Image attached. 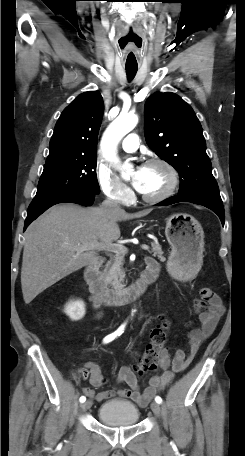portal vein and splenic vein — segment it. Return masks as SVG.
<instances>
[{
  "label": "portal vein and splenic vein",
  "instance_id": "portal-vein-and-splenic-vein-1",
  "mask_svg": "<svg viewBox=\"0 0 245 456\" xmlns=\"http://www.w3.org/2000/svg\"><path fill=\"white\" fill-rule=\"evenodd\" d=\"M85 249H97V250H104V251H111V252H114V253H117L118 251H122V252H127V248L123 245H120V244H103V243H99L98 241H95L93 244L89 245V246H86V247H83ZM141 248L143 250H149V246L148 245H142Z\"/></svg>",
  "mask_w": 245,
  "mask_h": 456
}]
</instances>
